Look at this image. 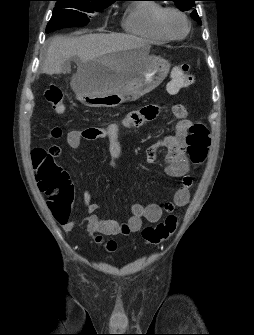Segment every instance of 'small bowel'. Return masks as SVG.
I'll list each match as a JSON object with an SVG mask.
<instances>
[{
	"instance_id": "c3829d8e",
	"label": "small bowel",
	"mask_w": 254,
	"mask_h": 335,
	"mask_svg": "<svg viewBox=\"0 0 254 335\" xmlns=\"http://www.w3.org/2000/svg\"><path fill=\"white\" fill-rule=\"evenodd\" d=\"M157 107L144 106L127 114L120 123H111L105 128H88L82 130H72L67 134V143L71 149H77L84 140L104 139L108 141L109 152L112 157V166L118 168L123 155L122 145L118 139L119 127H138L148 120L155 117ZM170 115H175L177 123L173 136L165 139L160 143L153 144L146 149V158L149 163H154L158 151L161 147L166 148V173L175 178L181 179V186L174 194L172 202L166 203L163 208L157 204H148L146 206L140 203L131 205V216L123 223L116 220H106L100 218L95 212L99 206L91 201V194L85 192L83 202L88 215L85 218L87 228L90 233H99L110 236H127L131 233L138 232L142 227V221L145 219L149 223H156L160 220L163 211L169 212L175 206L183 207L188 204L190 199V187L192 180L189 176V161L186 155V137L191 121L187 118V110L184 104H171ZM63 135L61 127L51 128L49 137L51 139H60ZM54 146V145H52ZM57 221L65 232H70L76 225V221L70 219L67 212L66 219L56 216Z\"/></svg>"
}]
</instances>
